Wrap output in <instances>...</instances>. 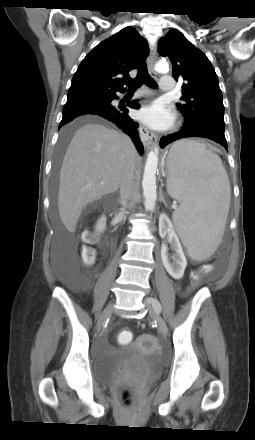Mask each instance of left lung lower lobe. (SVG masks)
I'll return each mask as SVG.
<instances>
[{
	"mask_svg": "<svg viewBox=\"0 0 255 440\" xmlns=\"http://www.w3.org/2000/svg\"><path fill=\"white\" fill-rule=\"evenodd\" d=\"M225 125L212 121H205L198 124L184 123L182 129L175 134L162 137L160 140L161 148L175 140L186 137H204L222 145L227 151V141L224 135Z\"/></svg>",
	"mask_w": 255,
	"mask_h": 440,
	"instance_id": "left-lung-lower-lobe-1",
	"label": "left lung lower lobe"
}]
</instances>
